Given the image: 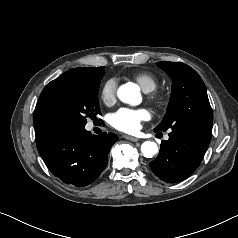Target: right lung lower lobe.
<instances>
[{"label":"right lung lower lobe","instance_id":"98d812e1","mask_svg":"<svg viewBox=\"0 0 238 238\" xmlns=\"http://www.w3.org/2000/svg\"><path fill=\"white\" fill-rule=\"evenodd\" d=\"M114 133L91 135L85 126L61 124L36 131V145L49 170L66 184L83 187L104 170Z\"/></svg>","mask_w":238,"mask_h":238}]
</instances>
